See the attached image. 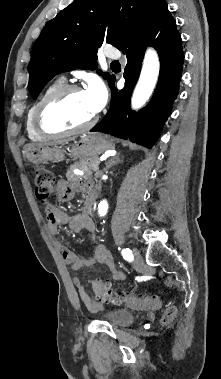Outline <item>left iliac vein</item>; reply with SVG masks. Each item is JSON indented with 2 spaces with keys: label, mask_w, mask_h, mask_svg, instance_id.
<instances>
[{
  "label": "left iliac vein",
  "mask_w": 221,
  "mask_h": 379,
  "mask_svg": "<svg viewBox=\"0 0 221 379\" xmlns=\"http://www.w3.org/2000/svg\"><path fill=\"white\" fill-rule=\"evenodd\" d=\"M132 252H133V255H134V259H133L132 265L137 270H142L143 266H144V263H143V259H142L141 255H140L139 251L136 248H133Z\"/></svg>",
  "instance_id": "4c4485c4"
}]
</instances>
